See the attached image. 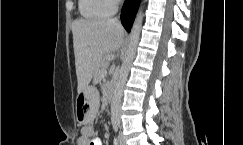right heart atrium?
<instances>
[{
	"instance_id": "d8ad5b80",
	"label": "right heart atrium",
	"mask_w": 243,
	"mask_h": 145,
	"mask_svg": "<svg viewBox=\"0 0 243 145\" xmlns=\"http://www.w3.org/2000/svg\"><path fill=\"white\" fill-rule=\"evenodd\" d=\"M107 1L113 8L120 2V0H107Z\"/></svg>"
}]
</instances>
